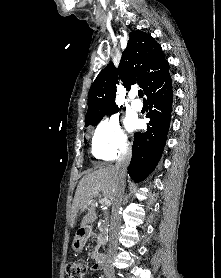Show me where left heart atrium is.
Segmentation results:
<instances>
[{
	"label": "left heart atrium",
	"instance_id": "39dd6f15",
	"mask_svg": "<svg viewBox=\"0 0 221 278\" xmlns=\"http://www.w3.org/2000/svg\"><path fill=\"white\" fill-rule=\"evenodd\" d=\"M138 125H139L138 122L133 118H130L127 121V126H128L129 129H135V128L138 127Z\"/></svg>",
	"mask_w": 221,
	"mask_h": 278
}]
</instances>
